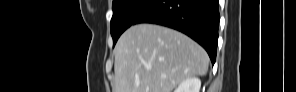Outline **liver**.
<instances>
[{
  "instance_id": "1",
  "label": "liver",
  "mask_w": 296,
  "mask_h": 92,
  "mask_svg": "<svg viewBox=\"0 0 296 92\" xmlns=\"http://www.w3.org/2000/svg\"><path fill=\"white\" fill-rule=\"evenodd\" d=\"M115 92H172L183 80L208 71L206 51L186 35L153 24H138L119 38Z\"/></svg>"
}]
</instances>
